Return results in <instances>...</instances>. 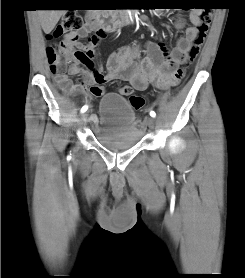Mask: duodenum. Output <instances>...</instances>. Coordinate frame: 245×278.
<instances>
[{
  "label": "duodenum",
  "mask_w": 245,
  "mask_h": 278,
  "mask_svg": "<svg viewBox=\"0 0 245 278\" xmlns=\"http://www.w3.org/2000/svg\"><path fill=\"white\" fill-rule=\"evenodd\" d=\"M89 23L96 29L104 30L107 33H110L124 23H135V16L131 11L124 13L122 17L114 18L110 14H99L88 16ZM85 90H76L72 93L73 96H79L85 94Z\"/></svg>",
  "instance_id": "duodenum-1"
}]
</instances>
